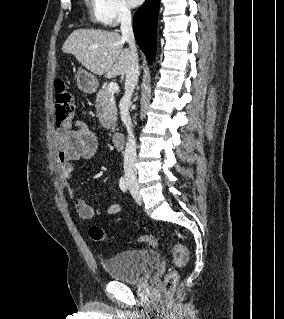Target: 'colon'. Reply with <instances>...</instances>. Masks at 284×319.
Returning a JSON list of instances; mask_svg holds the SVG:
<instances>
[{"mask_svg": "<svg viewBox=\"0 0 284 319\" xmlns=\"http://www.w3.org/2000/svg\"><path fill=\"white\" fill-rule=\"evenodd\" d=\"M75 112V100L68 85L62 79L55 81V118L58 126L72 124ZM89 236L92 240L100 242L111 239V236L99 227H91ZM149 246L156 247L159 244V238L155 235H143L138 239ZM173 262L176 268L183 267L188 260V251L180 243H175L172 247ZM178 274L175 270L168 273L164 280V292L171 294L177 284Z\"/></svg>", "mask_w": 284, "mask_h": 319, "instance_id": "5ec220e1", "label": "colon"}]
</instances>
